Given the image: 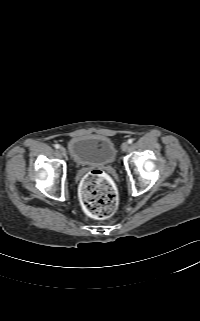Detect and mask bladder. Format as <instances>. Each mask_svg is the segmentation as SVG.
<instances>
[{"label": "bladder", "instance_id": "31cf9c89", "mask_svg": "<svg viewBox=\"0 0 200 321\" xmlns=\"http://www.w3.org/2000/svg\"><path fill=\"white\" fill-rule=\"evenodd\" d=\"M68 152L78 165H108L116 159L113 141L102 135H81L68 143Z\"/></svg>", "mask_w": 200, "mask_h": 321}]
</instances>
